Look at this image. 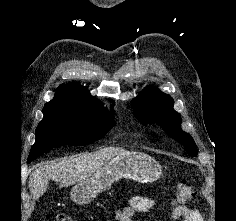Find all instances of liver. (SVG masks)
I'll list each match as a JSON object with an SVG mask.
<instances>
[{
	"label": "liver",
	"instance_id": "1",
	"mask_svg": "<svg viewBox=\"0 0 236 221\" xmlns=\"http://www.w3.org/2000/svg\"><path fill=\"white\" fill-rule=\"evenodd\" d=\"M124 152L126 151L122 148L106 147L92 153L64 157L38 165L29 177V189L33 199L40 198L46 192L49 180L60 182V187L78 184L89 179L105 163Z\"/></svg>",
	"mask_w": 236,
	"mask_h": 221
}]
</instances>
